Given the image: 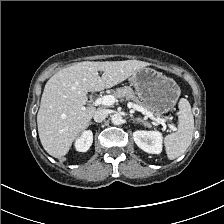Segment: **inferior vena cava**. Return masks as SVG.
Segmentation results:
<instances>
[{
    "label": "inferior vena cava",
    "instance_id": "inferior-vena-cava-1",
    "mask_svg": "<svg viewBox=\"0 0 224 224\" xmlns=\"http://www.w3.org/2000/svg\"><path fill=\"white\" fill-rule=\"evenodd\" d=\"M108 116V110L106 109H97L94 113L93 119L96 122H102Z\"/></svg>",
    "mask_w": 224,
    "mask_h": 224
}]
</instances>
